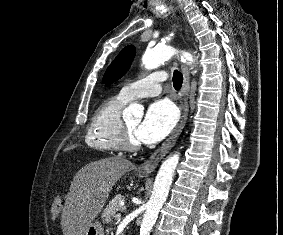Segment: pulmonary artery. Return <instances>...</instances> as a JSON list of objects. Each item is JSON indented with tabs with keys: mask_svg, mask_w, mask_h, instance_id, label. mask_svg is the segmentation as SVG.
<instances>
[{
	"mask_svg": "<svg viewBox=\"0 0 283 235\" xmlns=\"http://www.w3.org/2000/svg\"><path fill=\"white\" fill-rule=\"evenodd\" d=\"M166 80L163 71L154 72L142 79L125 85L120 94L127 101L138 98L153 97L161 93V83Z\"/></svg>",
	"mask_w": 283,
	"mask_h": 235,
	"instance_id": "1",
	"label": "pulmonary artery"
}]
</instances>
